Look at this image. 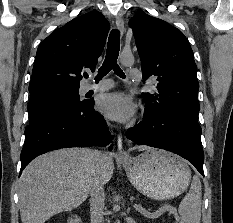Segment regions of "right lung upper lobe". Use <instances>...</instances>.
I'll return each mask as SVG.
<instances>
[{
  "instance_id": "cb5924a9",
  "label": "right lung upper lobe",
  "mask_w": 233,
  "mask_h": 223,
  "mask_svg": "<svg viewBox=\"0 0 233 223\" xmlns=\"http://www.w3.org/2000/svg\"><path fill=\"white\" fill-rule=\"evenodd\" d=\"M109 28L104 16L93 10L53 31L38 47L30 94L52 88H79L82 70L95 71Z\"/></svg>"
}]
</instances>
